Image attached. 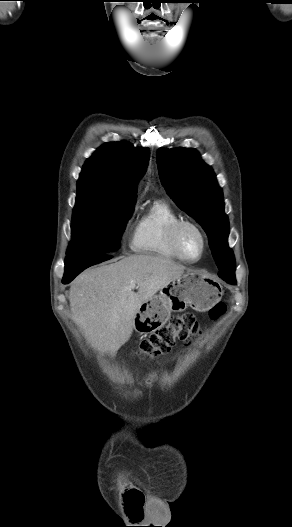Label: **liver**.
Returning a JSON list of instances; mask_svg holds the SVG:
<instances>
[{
	"label": "liver",
	"mask_w": 292,
	"mask_h": 527,
	"mask_svg": "<svg viewBox=\"0 0 292 527\" xmlns=\"http://www.w3.org/2000/svg\"><path fill=\"white\" fill-rule=\"evenodd\" d=\"M184 270L168 258L144 254L89 269L71 284L72 320L92 347L115 356L130 339L141 304L180 278ZM131 282L137 284V292Z\"/></svg>",
	"instance_id": "liver-1"
}]
</instances>
